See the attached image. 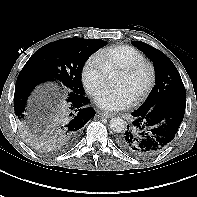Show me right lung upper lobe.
Here are the masks:
<instances>
[{"label": "right lung upper lobe", "mask_w": 197, "mask_h": 197, "mask_svg": "<svg viewBox=\"0 0 197 197\" xmlns=\"http://www.w3.org/2000/svg\"><path fill=\"white\" fill-rule=\"evenodd\" d=\"M22 124H23L24 127L30 129L28 134L35 135L38 138L39 137L43 138L46 135V132H45L44 128L41 127V126L35 125L33 123V121H31V120H27L26 122H24ZM43 139L46 141L45 138H43Z\"/></svg>", "instance_id": "1"}]
</instances>
